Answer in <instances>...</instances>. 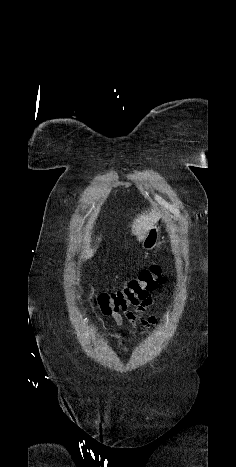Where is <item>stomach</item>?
<instances>
[{"mask_svg":"<svg viewBox=\"0 0 236 467\" xmlns=\"http://www.w3.org/2000/svg\"><path fill=\"white\" fill-rule=\"evenodd\" d=\"M159 238L160 228L158 226H153L143 240L142 248L147 251L154 249L158 244Z\"/></svg>","mask_w":236,"mask_h":467,"instance_id":"obj_1","label":"stomach"}]
</instances>
